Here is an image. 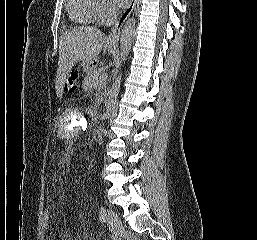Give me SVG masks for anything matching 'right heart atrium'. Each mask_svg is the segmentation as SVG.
Returning <instances> with one entry per match:
<instances>
[{"label":"right heart atrium","instance_id":"obj_1","mask_svg":"<svg viewBox=\"0 0 257 240\" xmlns=\"http://www.w3.org/2000/svg\"><path fill=\"white\" fill-rule=\"evenodd\" d=\"M95 21L98 23L107 22L115 13V9L108 0H96Z\"/></svg>","mask_w":257,"mask_h":240}]
</instances>
